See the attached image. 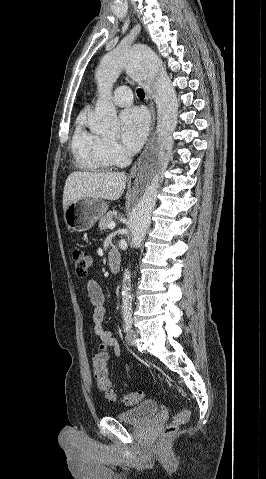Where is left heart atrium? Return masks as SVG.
<instances>
[{"mask_svg": "<svg viewBox=\"0 0 266 479\" xmlns=\"http://www.w3.org/2000/svg\"><path fill=\"white\" fill-rule=\"evenodd\" d=\"M121 140L125 149L136 152L143 144L149 130L147 113L138 107L125 110L120 116Z\"/></svg>", "mask_w": 266, "mask_h": 479, "instance_id": "obj_1", "label": "left heart atrium"}]
</instances>
